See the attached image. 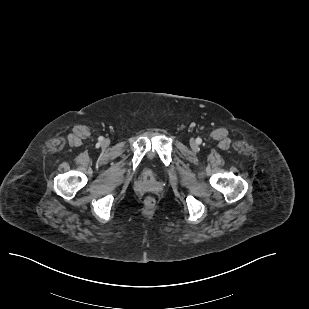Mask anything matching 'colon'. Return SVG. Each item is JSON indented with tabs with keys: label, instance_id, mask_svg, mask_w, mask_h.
<instances>
[{
	"label": "colon",
	"instance_id": "obj_1",
	"mask_svg": "<svg viewBox=\"0 0 309 309\" xmlns=\"http://www.w3.org/2000/svg\"><path fill=\"white\" fill-rule=\"evenodd\" d=\"M145 203V206L148 207V208H152L155 206L156 204V201L153 197H147L144 201Z\"/></svg>",
	"mask_w": 309,
	"mask_h": 309
}]
</instances>
